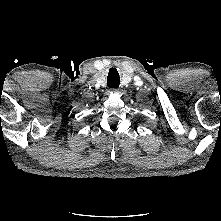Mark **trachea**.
I'll list each match as a JSON object with an SVG mask.
<instances>
[{"label": "trachea", "mask_w": 221, "mask_h": 221, "mask_svg": "<svg viewBox=\"0 0 221 221\" xmlns=\"http://www.w3.org/2000/svg\"><path fill=\"white\" fill-rule=\"evenodd\" d=\"M107 84L111 88H117L120 84V77L115 68H111L107 78Z\"/></svg>", "instance_id": "3493384b"}]
</instances>
